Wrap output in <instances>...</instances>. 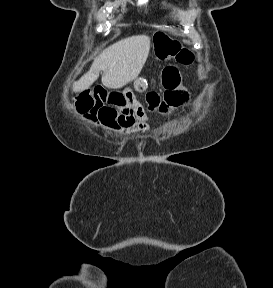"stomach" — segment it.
I'll list each match as a JSON object with an SVG mask.
<instances>
[{"instance_id": "1", "label": "stomach", "mask_w": 273, "mask_h": 288, "mask_svg": "<svg viewBox=\"0 0 273 288\" xmlns=\"http://www.w3.org/2000/svg\"><path fill=\"white\" fill-rule=\"evenodd\" d=\"M153 52L157 59L168 60L174 56V40L165 33H160L154 38ZM139 81H137L138 83Z\"/></svg>"}]
</instances>
